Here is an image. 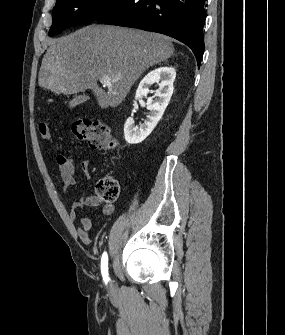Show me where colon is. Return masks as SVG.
Listing matches in <instances>:
<instances>
[{
  "mask_svg": "<svg viewBox=\"0 0 285 335\" xmlns=\"http://www.w3.org/2000/svg\"><path fill=\"white\" fill-rule=\"evenodd\" d=\"M39 132L43 139L51 140V131L46 123L39 124ZM72 134L77 140L85 141L98 150L112 151L117 144L109 127L100 121L79 119L72 125ZM96 193L103 202L112 204L120 194L119 182L114 177L105 176L97 182Z\"/></svg>",
  "mask_w": 285,
  "mask_h": 335,
  "instance_id": "5ec220e1",
  "label": "colon"
}]
</instances>
